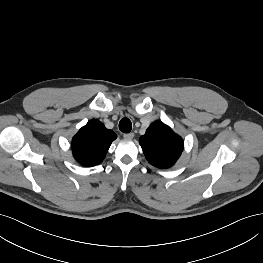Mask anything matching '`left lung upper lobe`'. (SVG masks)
<instances>
[{
  "mask_svg": "<svg viewBox=\"0 0 263 263\" xmlns=\"http://www.w3.org/2000/svg\"><path fill=\"white\" fill-rule=\"evenodd\" d=\"M139 143L148 162L158 168H169L180 157L183 140L161 121L153 122Z\"/></svg>",
  "mask_w": 263,
  "mask_h": 263,
  "instance_id": "left-lung-upper-lobe-1",
  "label": "left lung upper lobe"
}]
</instances>
